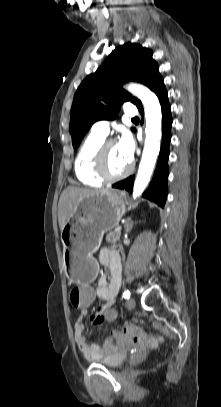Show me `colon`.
I'll return each instance as SVG.
<instances>
[{
    "mask_svg": "<svg viewBox=\"0 0 221 407\" xmlns=\"http://www.w3.org/2000/svg\"><path fill=\"white\" fill-rule=\"evenodd\" d=\"M94 289V283H72L71 304L75 306L76 311L89 310L95 299ZM104 311V322H112L118 318L116 314L117 307L115 305H106ZM124 325L120 329L121 333L124 336H129L145 349L156 348L162 342V337L158 335H147L136 328H129L127 322Z\"/></svg>",
    "mask_w": 221,
    "mask_h": 407,
    "instance_id": "colon-1",
    "label": "colon"
}]
</instances>
